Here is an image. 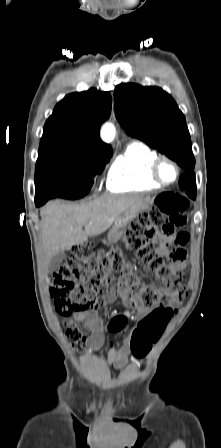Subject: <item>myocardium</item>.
Wrapping results in <instances>:
<instances>
[{
	"label": "myocardium",
	"instance_id": "obj_1",
	"mask_svg": "<svg viewBox=\"0 0 221 448\" xmlns=\"http://www.w3.org/2000/svg\"><path fill=\"white\" fill-rule=\"evenodd\" d=\"M164 162L169 163L175 170V177L172 181H165L160 174V168ZM150 176H151L152 180L154 182H156L157 184H159L161 186H170V185L174 184L175 182H177V180L179 179L180 169H179L178 164L174 160H172L171 158L165 157V156H161V157H158L157 159H155L154 162L152 163L151 169H150Z\"/></svg>",
	"mask_w": 221,
	"mask_h": 448
}]
</instances>
